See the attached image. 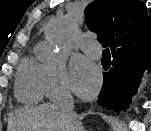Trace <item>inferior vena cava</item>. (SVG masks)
Wrapping results in <instances>:
<instances>
[{
    "mask_svg": "<svg viewBox=\"0 0 151 131\" xmlns=\"http://www.w3.org/2000/svg\"><path fill=\"white\" fill-rule=\"evenodd\" d=\"M53 102L55 106L66 112H71L74 107L72 96L66 89H63Z\"/></svg>",
    "mask_w": 151,
    "mask_h": 131,
    "instance_id": "602c4592",
    "label": "inferior vena cava"
}]
</instances>
